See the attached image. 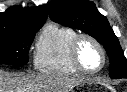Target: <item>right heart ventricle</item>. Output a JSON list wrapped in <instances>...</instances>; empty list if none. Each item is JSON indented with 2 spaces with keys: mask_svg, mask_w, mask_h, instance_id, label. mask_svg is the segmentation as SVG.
Listing matches in <instances>:
<instances>
[{
  "mask_svg": "<svg viewBox=\"0 0 127 92\" xmlns=\"http://www.w3.org/2000/svg\"><path fill=\"white\" fill-rule=\"evenodd\" d=\"M76 35L71 27L56 22L47 23L35 43V69L45 74H77L79 71L70 60V45Z\"/></svg>",
  "mask_w": 127,
  "mask_h": 92,
  "instance_id": "obj_1",
  "label": "right heart ventricle"
}]
</instances>
